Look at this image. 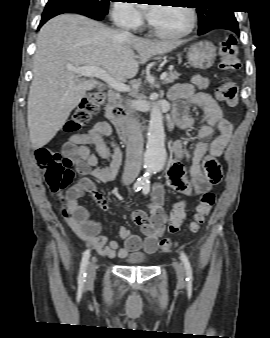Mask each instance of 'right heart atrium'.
Returning a JSON list of instances; mask_svg holds the SVG:
<instances>
[{"label": "right heart atrium", "mask_w": 270, "mask_h": 338, "mask_svg": "<svg viewBox=\"0 0 270 338\" xmlns=\"http://www.w3.org/2000/svg\"><path fill=\"white\" fill-rule=\"evenodd\" d=\"M112 16L114 22L122 27L131 29L139 28L143 24V18L132 3L122 1L114 5Z\"/></svg>", "instance_id": "1"}]
</instances>
